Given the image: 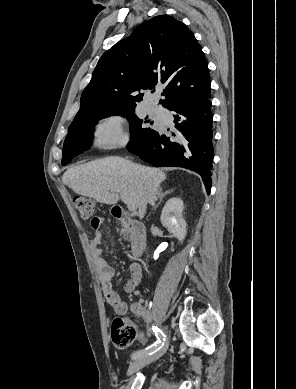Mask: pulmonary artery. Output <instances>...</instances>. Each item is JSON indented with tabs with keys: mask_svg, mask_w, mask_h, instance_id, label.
I'll list each match as a JSON object with an SVG mask.
<instances>
[{
	"mask_svg": "<svg viewBox=\"0 0 296 389\" xmlns=\"http://www.w3.org/2000/svg\"><path fill=\"white\" fill-rule=\"evenodd\" d=\"M150 111H151L152 113L156 114V115L161 114V110H160V108H158L157 106H151V107H150Z\"/></svg>",
	"mask_w": 296,
	"mask_h": 389,
	"instance_id": "pulmonary-artery-1",
	"label": "pulmonary artery"
}]
</instances>
